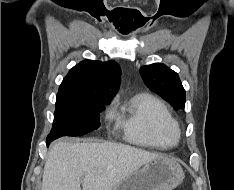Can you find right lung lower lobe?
<instances>
[{
    "label": "right lung lower lobe",
    "instance_id": "98d812e1",
    "mask_svg": "<svg viewBox=\"0 0 234 190\" xmlns=\"http://www.w3.org/2000/svg\"><path fill=\"white\" fill-rule=\"evenodd\" d=\"M51 140H46L47 146L50 144Z\"/></svg>",
    "mask_w": 234,
    "mask_h": 190
}]
</instances>
